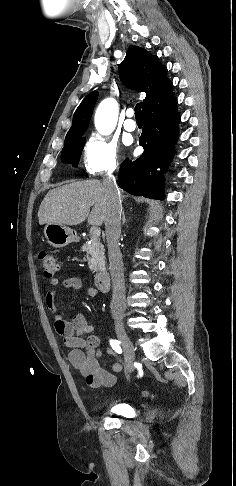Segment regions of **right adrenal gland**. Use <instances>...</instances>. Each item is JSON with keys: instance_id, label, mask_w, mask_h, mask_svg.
Returning a JSON list of instances; mask_svg holds the SVG:
<instances>
[{"instance_id": "obj_1", "label": "right adrenal gland", "mask_w": 236, "mask_h": 486, "mask_svg": "<svg viewBox=\"0 0 236 486\" xmlns=\"http://www.w3.org/2000/svg\"><path fill=\"white\" fill-rule=\"evenodd\" d=\"M126 223V217L124 211L122 212V225Z\"/></svg>"}]
</instances>
